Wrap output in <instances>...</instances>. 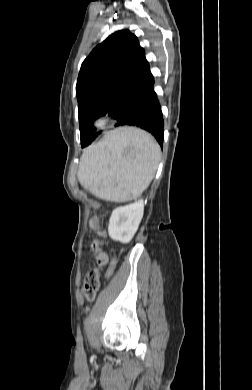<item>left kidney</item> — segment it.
Segmentation results:
<instances>
[{
	"instance_id": "5707ae66",
	"label": "left kidney",
	"mask_w": 252,
	"mask_h": 390,
	"mask_svg": "<svg viewBox=\"0 0 252 390\" xmlns=\"http://www.w3.org/2000/svg\"><path fill=\"white\" fill-rule=\"evenodd\" d=\"M143 213V200L114 209L108 225L110 238L121 243H129L138 230Z\"/></svg>"
}]
</instances>
